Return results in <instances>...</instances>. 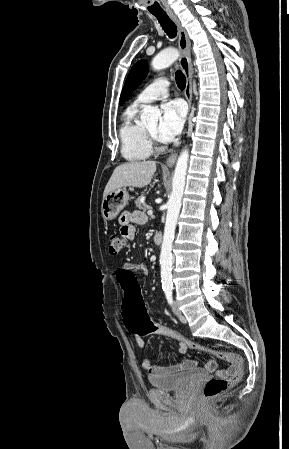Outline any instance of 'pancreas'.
I'll use <instances>...</instances> for the list:
<instances>
[{"label": "pancreas", "mask_w": 289, "mask_h": 449, "mask_svg": "<svg viewBox=\"0 0 289 449\" xmlns=\"http://www.w3.org/2000/svg\"><path fill=\"white\" fill-rule=\"evenodd\" d=\"M145 198V195H141L135 200V204L140 210H146V204L144 203Z\"/></svg>", "instance_id": "obj_1"}]
</instances>
